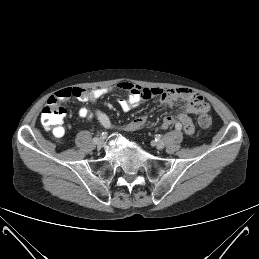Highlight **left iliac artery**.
<instances>
[{
    "label": "left iliac artery",
    "mask_w": 259,
    "mask_h": 259,
    "mask_svg": "<svg viewBox=\"0 0 259 259\" xmlns=\"http://www.w3.org/2000/svg\"><path fill=\"white\" fill-rule=\"evenodd\" d=\"M175 128H176L177 130H180V129H181V124L177 123V124L175 125Z\"/></svg>",
    "instance_id": "1"
}]
</instances>
